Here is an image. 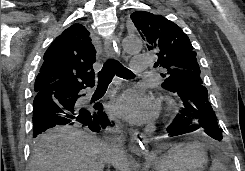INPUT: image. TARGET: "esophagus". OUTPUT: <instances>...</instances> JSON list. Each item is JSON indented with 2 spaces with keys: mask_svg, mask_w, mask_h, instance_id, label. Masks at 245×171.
<instances>
[{
  "mask_svg": "<svg viewBox=\"0 0 245 171\" xmlns=\"http://www.w3.org/2000/svg\"><path fill=\"white\" fill-rule=\"evenodd\" d=\"M104 51L108 58H115V48L111 39L104 41ZM132 150L139 154L149 156L148 151V139L144 134L138 135L137 133H131Z\"/></svg>",
  "mask_w": 245,
  "mask_h": 171,
  "instance_id": "1",
  "label": "esophagus"
}]
</instances>
